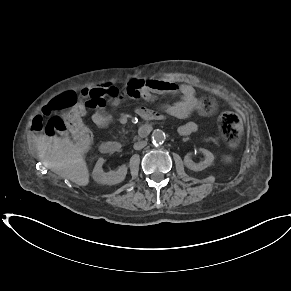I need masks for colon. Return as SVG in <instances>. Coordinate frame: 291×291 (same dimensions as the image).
Segmentation results:
<instances>
[{"label":"colon","mask_w":291,"mask_h":291,"mask_svg":"<svg viewBox=\"0 0 291 291\" xmlns=\"http://www.w3.org/2000/svg\"><path fill=\"white\" fill-rule=\"evenodd\" d=\"M86 96L87 93H83L80 97L73 91H65L50 102H44L42 113L33 120V127L37 130H43L47 136L69 132L79 149L88 148L92 142V134L82 121L85 108L80 103ZM191 104L196 106L198 101L193 99ZM201 105L204 112H209L213 107L209 98L204 99ZM56 112H63L64 115H52ZM218 123L225 140L230 144L237 143L242 133L240 118L233 112H223L219 116ZM230 159L231 157H228V160Z\"/></svg>","instance_id":"5ec220e1"}]
</instances>
